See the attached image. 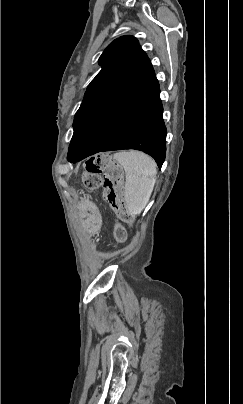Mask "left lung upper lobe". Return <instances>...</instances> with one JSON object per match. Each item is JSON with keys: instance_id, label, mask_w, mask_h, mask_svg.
<instances>
[{"instance_id": "5c2ea615", "label": "left lung upper lobe", "mask_w": 243, "mask_h": 404, "mask_svg": "<svg viewBox=\"0 0 243 404\" xmlns=\"http://www.w3.org/2000/svg\"><path fill=\"white\" fill-rule=\"evenodd\" d=\"M99 64L102 69L88 85L75 114L67 159L77 153L100 115L155 75L149 58L133 36L114 40L100 56Z\"/></svg>"}]
</instances>
